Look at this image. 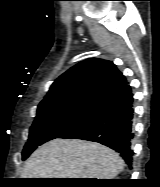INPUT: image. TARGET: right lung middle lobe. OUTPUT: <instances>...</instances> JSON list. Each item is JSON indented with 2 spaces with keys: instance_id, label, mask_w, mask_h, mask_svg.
<instances>
[{
  "instance_id": "1",
  "label": "right lung middle lobe",
  "mask_w": 160,
  "mask_h": 187,
  "mask_svg": "<svg viewBox=\"0 0 160 187\" xmlns=\"http://www.w3.org/2000/svg\"><path fill=\"white\" fill-rule=\"evenodd\" d=\"M96 102L74 101L57 106L38 108L30 128L22 159L25 160L39 145L58 138L76 125L93 109Z\"/></svg>"
}]
</instances>
